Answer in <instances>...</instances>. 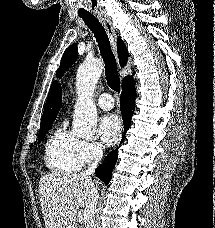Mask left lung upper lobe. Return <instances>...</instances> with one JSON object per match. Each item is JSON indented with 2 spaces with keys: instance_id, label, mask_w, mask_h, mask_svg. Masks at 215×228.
<instances>
[{
  "instance_id": "left-lung-upper-lobe-1",
  "label": "left lung upper lobe",
  "mask_w": 215,
  "mask_h": 228,
  "mask_svg": "<svg viewBox=\"0 0 215 228\" xmlns=\"http://www.w3.org/2000/svg\"><path fill=\"white\" fill-rule=\"evenodd\" d=\"M78 57L77 44L70 45L64 52L57 75L61 76L68 70Z\"/></svg>"
}]
</instances>
